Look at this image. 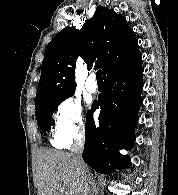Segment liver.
I'll use <instances>...</instances> for the list:
<instances>
[{"mask_svg": "<svg viewBox=\"0 0 178 195\" xmlns=\"http://www.w3.org/2000/svg\"><path fill=\"white\" fill-rule=\"evenodd\" d=\"M86 170L88 174L83 175L72 153L41 148L37 154L39 195H91L88 175H93L87 166Z\"/></svg>", "mask_w": 178, "mask_h": 195, "instance_id": "1", "label": "liver"}]
</instances>
